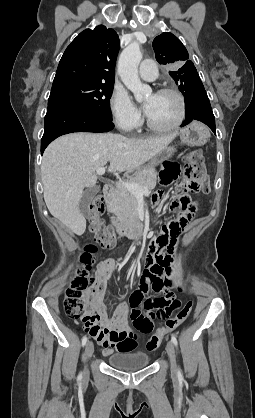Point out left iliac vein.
<instances>
[{
    "mask_svg": "<svg viewBox=\"0 0 255 418\" xmlns=\"http://www.w3.org/2000/svg\"><path fill=\"white\" fill-rule=\"evenodd\" d=\"M166 349H167L168 356L170 358L171 373L172 375L175 376L177 374V366H176V360H175V348H174V344L172 341L167 342Z\"/></svg>",
    "mask_w": 255,
    "mask_h": 418,
    "instance_id": "1",
    "label": "left iliac vein"
}]
</instances>
